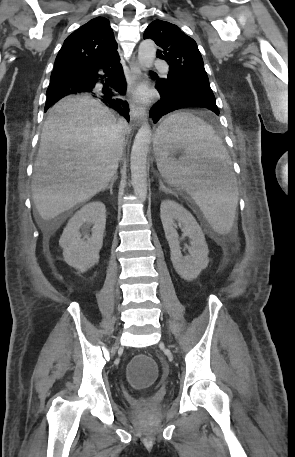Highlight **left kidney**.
<instances>
[{"mask_svg": "<svg viewBox=\"0 0 295 457\" xmlns=\"http://www.w3.org/2000/svg\"><path fill=\"white\" fill-rule=\"evenodd\" d=\"M160 216L175 271L187 281L196 279L209 263V250L201 227L188 210L173 200H164L161 203ZM177 224L182 226L183 234L191 239V246L188 247L189 256L185 258L179 246L175 229Z\"/></svg>", "mask_w": 295, "mask_h": 457, "instance_id": "1", "label": "left kidney"}]
</instances>
